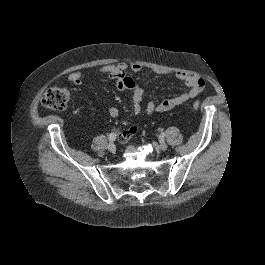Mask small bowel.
Here are the masks:
<instances>
[{
	"mask_svg": "<svg viewBox=\"0 0 265 265\" xmlns=\"http://www.w3.org/2000/svg\"><path fill=\"white\" fill-rule=\"evenodd\" d=\"M142 69L139 64H131L120 62L118 64L105 65L98 69V72L108 76L109 78L116 81V87L120 91H132V107L135 114H140L143 111V98L144 91L136 85L134 80L127 76V71L139 72ZM157 74H164L161 70L154 71ZM85 73L82 71H76L68 75L67 80L74 85H81L84 79ZM177 79L183 81L188 89L183 93L164 99L160 102L150 100L145 106V113L152 115L155 112H166L170 111L190 99L198 96L204 89V79L196 74L189 72H177L175 73ZM108 114L112 118H116L119 115V110L115 106H111L108 109ZM137 132V127L133 126L128 130L119 133L118 137L121 141H125L133 136Z\"/></svg>",
	"mask_w": 265,
	"mask_h": 265,
	"instance_id": "c3829d8e",
	"label": "small bowel"
}]
</instances>
